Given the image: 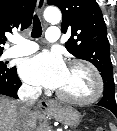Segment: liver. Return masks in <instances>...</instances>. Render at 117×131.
<instances>
[{
    "instance_id": "1",
    "label": "liver",
    "mask_w": 117,
    "mask_h": 131,
    "mask_svg": "<svg viewBox=\"0 0 117 131\" xmlns=\"http://www.w3.org/2000/svg\"><path fill=\"white\" fill-rule=\"evenodd\" d=\"M38 114L30 111L27 116L20 113L18 101L0 96V131H31L36 127Z\"/></svg>"
}]
</instances>
